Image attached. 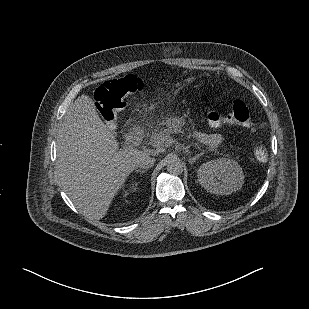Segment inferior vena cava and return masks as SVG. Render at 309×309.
Here are the masks:
<instances>
[{"label": "inferior vena cava", "mask_w": 309, "mask_h": 309, "mask_svg": "<svg viewBox=\"0 0 309 309\" xmlns=\"http://www.w3.org/2000/svg\"><path fill=\"white\" fill-rule=\"evenodd\" d=\"M154 163H155V158L145 156L139 161L138 167L143 168V169H148L152 167Z\"/></svg>", "instance_id": "inferior-vena-cava-1"}]
</instances>
